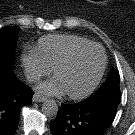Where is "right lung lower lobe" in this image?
<instances>
[{
    "label": "right lung lower lobe",
    "instance_id": "1",
    "mask_svg": "<svg viewBox=\"0 0 135 135\" xmlns=\"http://www.w3.org/2000/svg\"><path fill=\"white\" fill-rule=\"evenodd\" d=\"M32 90L11 72H0V135H13L20 110L32 103Z\"/></svg>",
    "mask_w": 135,
    "mask_h": 135
}]
</instances>
